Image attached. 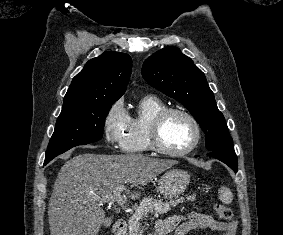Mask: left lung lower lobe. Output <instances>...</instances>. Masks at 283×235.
Listing matches in <instances>:
<instances>
[{
  "instance_id": "left-lung-lower-lobe-1",
  "label": "left lung lower lobe",
  "mask_w": 283,
  "mask_h": 235,
  "mask_svg": "<svg viewBox=\"0 0 283 235\" xmlns=\"http://www.w3.org/2000/svg\"><path fill=\"white\" fill-rule=\"evenodd\" d=\"M208 156L214 157L227 164L234 172L238 170L237 156L234 150H217L208 153ZM198 157V156H196Z\"/></svg>"
}]
</instances>
